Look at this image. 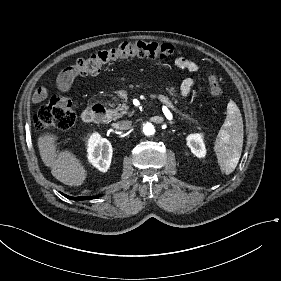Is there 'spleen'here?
I'll list each match as a JSON object with an SVG mask.
<instances>
[{"instance_id": "3e777b00", "label": "spleen", "mask_w": 281, "mask_h": 281, "mask_svg": "<svg viewBox=\"0 0 281 281\" xmlns=\"http://www.w3.org/2000/svg\"><path fill=\"white\" fill-rule=\"evenodd\" d=\"M243 120L233 101L227 104L226 121L214 143V153L222 175L229 176L237 167L243 147Z\"/></svg>"}]
</instances>
